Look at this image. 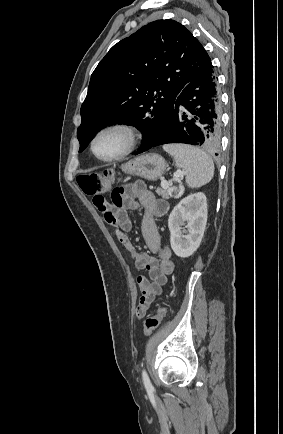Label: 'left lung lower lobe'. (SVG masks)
I'll return each instance as SVG.
<instances>
[{"instance_id": "0a47b994", "label": "left lung lower lobe", "mask_w": 283, "mask_h": 434, "mask_svg": "<svg viewBox=\"0 0 283 434\" xmlns=\"http://www.w3.org/2000/svg\"><path fill=\"white\" fill-rule=\"evenodd\" d=\"M220 132V91L211 66L182 89L167 123L155 141L136 154L168 143H185L217 151Z\"/></svg>"}]
</instances>
